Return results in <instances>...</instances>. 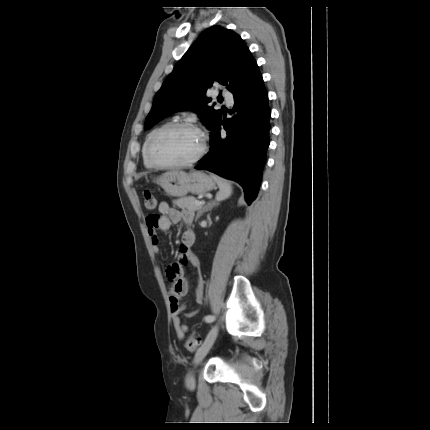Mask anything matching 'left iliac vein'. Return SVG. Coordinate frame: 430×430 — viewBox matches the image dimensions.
<instances>
[{"label": "left iliac vein", "mask_w": 430, "mask_h": 430, "mask_svg": "<svg viewBox=\"0 0 430 430\" xmlns=\"http://www.w3.org/2000/svg\"><path fill=\"white\" fill-rule=\"evenodd\" d=\"M217 329L213 328L209 334L207 335L204 343L202 346L198 349L195 358H194V364L198 365L201 363V361L204 359V357L207 355L209 350L211 349L212 345L214 344L216 337H217ZM186 384L188 387H194L195 385V377L193 373H188L186 377Z\"/></svg>", "instance_id": "4c4485c4"}]
</instances>
